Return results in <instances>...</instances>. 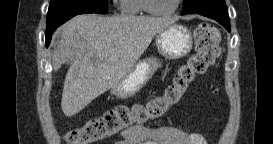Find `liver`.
I'll use <instances>...</instances> for the list:
<instances>
[{"label": "liver", "instance_id": "1", "mask_svg": "<svg viewBox=\"0 0 273 144\" xmlns=\"http://www.w3.org/2000/svg\"><path fill=\"white\" fill-rule=\"evenodd\" d=\"M174 18L149 16L102 17L78 15L58 31L60 42L52 56L53 70L71 61L61 107L67 117L116 86L129 73L156 34Z\"/></svg>", "mask_w": 273, "mask_h": 144}]
</instances>
